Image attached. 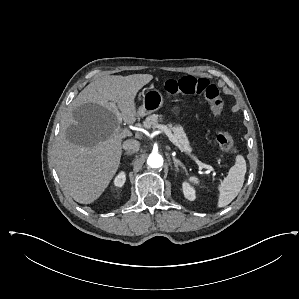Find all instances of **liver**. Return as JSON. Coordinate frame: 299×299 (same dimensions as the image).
Returning a JSON list of instances; mask_svg holds the SVG:
<instances>
[{"instance_id":"1","label":"liver","mask_w":299,"mask_h":299,"mask_svg":"<svg viewBox=\"0 0 299 299\" xmlns=\"http://www.w3.org/2000/svg\"><path fill=\"white\" fill-rule=\"evenodd\" d=\"M151 74L110 75L89 83L73 100L56 147V169L65 191L78 203L98 199L116 174L122 140L132 136L121 121H136L135 97Z\"/></svg>"}]
</instances>
